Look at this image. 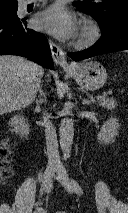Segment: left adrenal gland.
Instances as JSON below:
<instances>
[{
	"label": "left adrenal gland",
	"mask_w": 128,
	"mask_h": 213,
	"mask_svg": "<svg viewBox=\"0 0 128 213\" xmlns=\"http://www.w3.org/2000/svg\"><path fill=\"white\" fill-rule=\"evenodd\" d=\"M82 104L83 105H89V104H91V101H88L87 99H83Z\"/></svg>",
	"instance_id": "1"
}]
</instances>
